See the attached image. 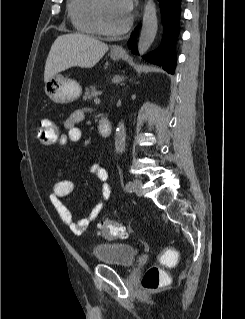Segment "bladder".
Masks as SVG:
<instances>
[{
  "label": "bladder",
  "mask_w": 245,
  "mask_h": 319,
  "mask_svg": "<svg viewBox=\"0 0 245 319\" xmlns=\"http://www.w3.org/2000/svg\"><path fill=\"white\" fill-rule=\"evenodd\" d=\"M94 259L99 263L130 266L136 256L135 247L127 243H99L93 248Z\"/></svg>",
  "instance_id": "obj_1"
}]
</instances>
